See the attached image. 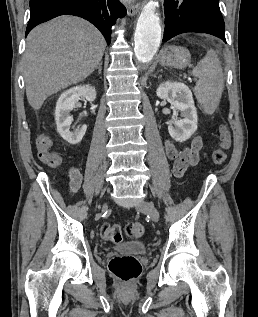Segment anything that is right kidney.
<instances>
[{
  "mask_svg": "<svg viewBox=\"0 0 258 317\" xmlns=\"http://www.w3.org/2000/svg\"><path fill=\"white\" fill-rule=\"evenodd\" d=\"M80 96H85L87 100H95L96 88L90 86V84H83V86H73L68 88L65 92L60 94L56 102L55 120L57 124V130L61 134L62 138L68 140L70 144H77L82 140L87 124H82L80 128L76 130H70L73 116H70V110H73L76 102H78Z\"/></svg>",
  "mask_w": 258,
  "mask_h": 317,
  "instance_id": "obj_1",
  "label": "right kidney"
}]
</instances>
